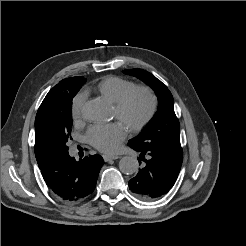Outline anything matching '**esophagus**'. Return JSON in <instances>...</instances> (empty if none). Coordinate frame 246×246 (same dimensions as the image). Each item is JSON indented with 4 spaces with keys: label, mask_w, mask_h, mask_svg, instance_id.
Wrapping results in <instances>:
<instances>
[{
    "label": "esophagus",
    "mask_w": 246,
    "mask_h": 246,
    "mask_svg": "<svg viewBox=\"0 0 246 246\" xmlns=\"http://www.w3.org/2000/svg\"><path fill=\"white\" fill-rule=\"evenodd\" d=\"M119 158H120V156H118V155H103V159L105 162H108L110 160H116Z\"/></svg>",
    "instance_id": "esophagus-1"
}]
</instances>
